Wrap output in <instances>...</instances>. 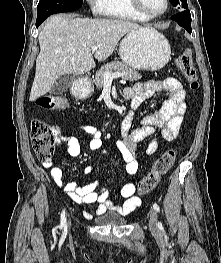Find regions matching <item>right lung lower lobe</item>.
<instances>
[{
    "label": "right lung lower lobe",
    "instance_id": "right-lung-lower-lobe-1",
    "mask_svg": "<svg viewBox=\"0 0 221 263\" xmlns=\"http://www.w3.org/2000/svg\"><path fill=\"white\" fill-rule=\"evenodd\" d=\"M47 17H48V16H46V17H41V18H37L36 27H39V25H40Z\"/></svg>",
    "mask_w": 221,
    "mask_h": 263
}]
</instances>
